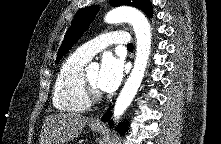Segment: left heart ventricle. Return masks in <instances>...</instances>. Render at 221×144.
<instances>
[{
  "label": "left heart ventricle",
  "instance_id": "obj_1",
  "mask_svg": "<svg viewBox=\"0 0 221 144\" xmlns=\"http://www.w3.org/2000/svg\"><path fill=\"white\" fill-rule=\"evenodd\" d=\"M86 74H87V77H88L89 81L94 86H96V82H97L99 71L98 70H91V71H88Z\"/></svg>",
  "mask_w": 221,
  "mask_h": 144
}]
</instances>
